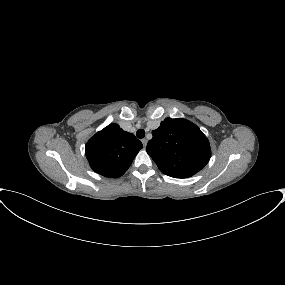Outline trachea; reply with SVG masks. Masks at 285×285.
<instances>
[{
  "label": "trachea",
  "mask_w": 285,
  "mask_h": 285,
  "mask_svg": "<svg viewBox=\"0 0 285 285\" xmlns=\"http://www.w3.org/2000/svg\"><path fill=\"white\" fill-rule=\"evenodd\" d=\"M136 136L139 138V139H142L145 137V131L144 129H139L137 132H136Z\"/></svg>",
  "instance_id": "trachea-1"
}]
</instances>
